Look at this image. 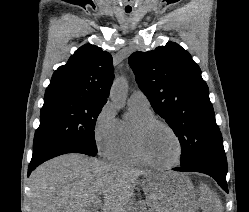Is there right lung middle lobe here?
<instances>
[{
  "instance_id": "obj_1",
  "label": "right lung middle lobe",
  "mask_w": 249,
  "mask_h": 212,
  "mask_svg": "<svg viewBox=\"0 0 249 212\" xmlns=\"http://www.w3.org/2000/svg\"><path fill=\"white\" fill-rule=\"evenodd\" d=\"M103 106L76 96L44 98L33 150L46 144L70 141L80 144L87 155L95 156L97 147L94 129Z\"/></svg>"
}]
</instances>
